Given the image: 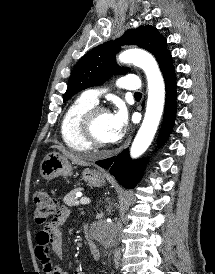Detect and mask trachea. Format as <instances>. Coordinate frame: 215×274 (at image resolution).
<instances>
[{
  "instance_id": "1",
  "label": "trachea",
  "mask_w": 215,
  "mask_h": 274,
  "mask_svg": "<svg viewBox=\"0 0 215 274\" xmlns=\"http://www.w3.org/2000/svg\"><path fill=\"white\" fill-rule=\"evenodd\" d=\"M134 96H135L136 98H140V97H142V94H141L140 92H136V93L134 94Z\"/></svg>"
}]
</instances>
